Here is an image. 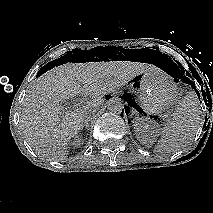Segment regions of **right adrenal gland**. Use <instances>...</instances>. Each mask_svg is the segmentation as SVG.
Listing matches in <instances>:
<instances>
[{"instance_id":"1","label":"right adrenal gland","mask_w":213,"mask_h":213,"mask_svg":"<svg viewBox=\"0 0 213 213\" xmlns=\"http://www.w3.org/2000/svg\"><path fill=\"white\" fill-rule=\"evenodd\" d=\"M86 127V129H88V126H89V123L88 122H85V124L83 125V127Z\"/></svg>"}]
</instances>
